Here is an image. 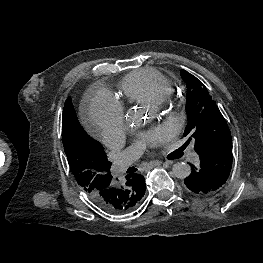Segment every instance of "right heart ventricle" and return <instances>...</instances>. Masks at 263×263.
Listing matches in <instances>:
<instances>
[{
	"mask_svg": "<svg viewBox=\"0 0 263 263\" xmlns=\"http://www.w3.org/2000/svg\"><path fill=\"white\" fill-rule=\"evenodd\" d=\"M125 99L130 102L154 106L173 91L171 82L154 68H141L129 72L119 85Z\"/></svg>",
	"mask_w": 263,
	"mask_h": 263,
	"instance_id": "1",
	"label": "right heart ventricle"
}]
</instances>
